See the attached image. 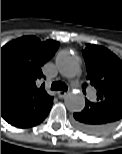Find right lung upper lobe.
<instances>
[{
	"mask_svg": "<svg viewBox=\"0 0 122 154\" xmlns=\"http://www.w3.org/2000/svg\"><path fill=\"white\" fill-rule=\"evenodd\" d=\"M58 47L54 40L24 36L1 48V116L9 124L18 126L51 108L53 97L37 83Z\"/></svg>",
	"mask_w": 122,
	"mask_h": 154,
	"instance_id": "cb5924a9",
	"label": "right lung upper lobe"
}]
</instances>
